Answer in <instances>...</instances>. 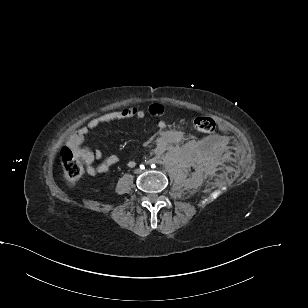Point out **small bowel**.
<instances>
[{"mask_svg": "<svg viewBox=\"0 0 308 308\" xmlns=\"http://www.w3.org/2000/svg\"><path fill=\"white\" fill-rule=\"evenodd\" d=\"M147 114L154 117H161L164 114V107L160 104H151L146 110L139 107H126L124 109L110 111L98 117L91 119L85 126L78 129L67 140V147H69L75 157L79 159L86 167L90 175L108 174L112 166L118 162L116 155H109L103 158L100 150H91L84 146L85 137L87 134L103 124H107L116 120L137 118L142 119ZM164 121H159L158 128L160 130L157 139L158 149H165L170 144H178L183 140V133L178 130H170L166 128ZM95 160H102L97 166L94 165ZM129 167H134L133 160L128 162Z\"/></svg>", "mask_w": 308, "mask_h": 308, "instance_id": "c3829d8e", "label": "small bowel"}]
</instances>
